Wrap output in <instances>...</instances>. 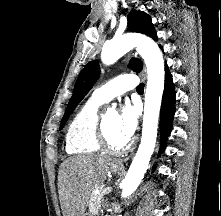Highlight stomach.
<instances>
[{
	"mask_svg": "<svg viewBox=\"0 0 221 216\" xmlns=\"http://www.w3.org/2000/svg\"><path fill=\"white\" fill-rule=\"evenodd\" d=\"M111 170L113 171V172H115V173H118V172H120V169L119 168H117L115 165H111ZM83 216H92V214L91 213H85Z\"/></svg>",
	"mask_w": 221,
	"mask_h": 216,
	"instance_id": "stomach-1",
	"label": "stomach"
}]
</instances>
